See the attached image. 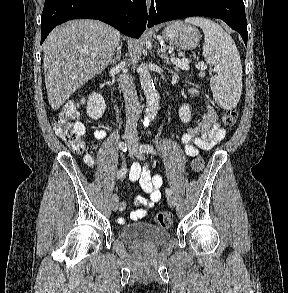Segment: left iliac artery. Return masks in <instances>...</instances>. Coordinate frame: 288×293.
Listing matches in <instances>:
<instances>
[{"label": "left iliac artery", "instance_id": "obj_1", "mask_svg": "<svg viewBox=\"0 0 288 293\" xmlns=\"http://www.w3.org/2000/svg\"><path fill=\"white\" fill-rule=\"evenodd\" d=\"M140 151L144 152V153H153L155 154L156 151L155 149L153 148V146L149 145V144H143L140 146ZM166 194L167 195H171L172 194V191L171 189L167 188L166 189Z\"/></svg>", "mask_w": 288, "mask_h": 293}]
</instances>
